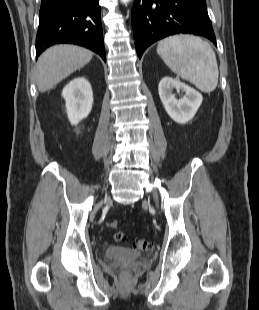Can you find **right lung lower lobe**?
<instances>
[{"label": "right lung lower lobe", "instance_id": "obj_1", "mask_svg": "<svg viewBox=\"0 0 259 310\" xmlns=\"http://www.w3.org/2000/svg\"><path fill=\"white\" fill-rule=\"evenodd\" d=\"M99 0H42L36 58L48 47L72 43L91 49L106 61Z\"/></svg>", "mask_w": 259, "mask_h": 310}]
</instances>
